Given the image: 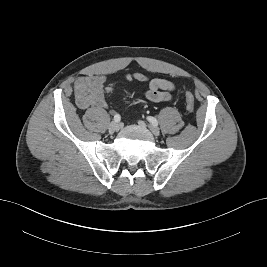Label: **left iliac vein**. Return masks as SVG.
<instances>
[{
  "instance_id": "1",
  "label": "left iliac vein",
  "mask_w": 267,
  "mask_h": 267,
  "mask_svg": "<svg viewBox=\"0 0 267 267\" xmlns=\"http://www.w3.org/2000/svg\"><path fill=\"white\" fill-rule=\"evenodd\" d=\"M140 126L146 127L147 125L143 121L138 122ZM150 131L152 132L153 135L158 136L160 134V130L157 126L149 125L148 126Z\"/></svg>"
}]
</instances>
